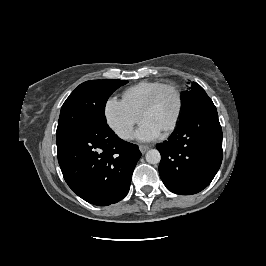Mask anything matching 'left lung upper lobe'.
<instances>
[{"instance_id": "left-lung-upper-lobe-1", "label": "left lung upper lobe", "mask_w": 266, "mask_h": 266, "mask_svg": "<svg viewBox=\"0 0 266 266\" xmlns=\"http://www.w3.org/2000/svg\"><path fill=\"white\" fill-rule=\"evenodd\" d=\"M181 97H182L183 107L180 119L183 116H185V114L189 112L193 107H195L201 102L210 99L209 96L204 91V89L195 82H193V85L188 90L182 92Z\"/></svg>"}]
</instances>
